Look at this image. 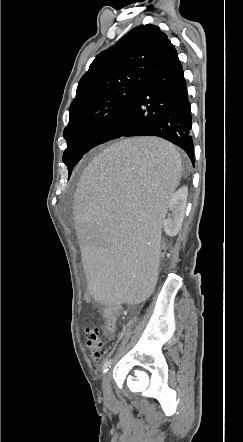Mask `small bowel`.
I'll use <instances>...</instances> for the list:
<instances>
[{
    "label": "small bowel",
    "mask_w": 243,
    "mask_h": 442,
    "mask_svg": "<svg viewBox=\"0 0 243 442\" xmlns=\"http://www.w3.org/2000/svg\"><path fill=\"white\" fill-rule=\"evenodd\" d=\"M121 311V307H107L103 316L105 319L104 331L108 339H113L116 332L117 317Z\"/></svg>",
    "instance_id": "obj_1"
}]
</instances>
